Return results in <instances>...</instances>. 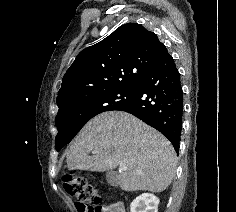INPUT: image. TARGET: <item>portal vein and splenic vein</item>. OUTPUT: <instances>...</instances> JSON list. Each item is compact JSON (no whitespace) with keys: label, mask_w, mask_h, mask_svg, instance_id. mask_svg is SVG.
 I'll return each mask as SVG.
<instances>
[{"label":"portal vein and splenic vein","mask_w":236,"mask_h":212,"mask_svg":"<svg viewBox=\"0 0 236 212\" xmlns=\"http://www.w3.org/2000/svg\"><path fill=\"white\" fill-rule=\"evenodd\" d=\"M93 153H96V152L93 151ZM125 170H127L126 165L121 164V165L119 166V171H125Z\"/></svg>","instance_id":"obj_1"}]
</instances>
